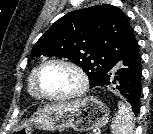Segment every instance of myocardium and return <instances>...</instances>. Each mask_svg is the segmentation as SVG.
<instances>
[{"instance_id": "myocardium-1", "label": "myocardium", "mask_w": 153, "mask_h": 134, "mask_svg": "<svg viewBox=\"0 0 153 134\" xmlns=\"http://www.w3.org/2000/svg\"><path fill=\"white\" fill-rule=\"evenodd\" d=\"M52 64L64 65L70 68L72 71H74L79 79V85L77 89H75L73 92H70L64 95H49V94L44 93L40 87V77H41L43 70L47 66L52 65ZM34 86H35L36 92L42 99L49 100V101H67V100L78 98L82 96L83 94H85V92L87 91L89 87V77H88L87 72L84 70V68L78 63L72 60L66 59V58H51V59L44 61L37 68V71L34 76Z\"/></svg>"}]
</instances>
